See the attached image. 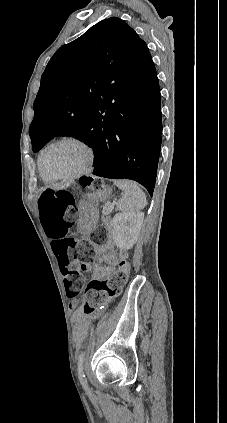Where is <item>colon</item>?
I'll use <instances>...</instances> for the list:
<instances>
[{"label": "colon", "instance_id": "5ec220e1", "mask_svg": "<svg viewBox=\"0 0 227 423\" xmlns=\"http://www.w3.org/2000/svg\"><path fill=\"white\" fill-rule=\"evenodd\" d=\"M78 186L95 187L97 183L92 179H83ZM38 208L46 234L56 240L54 254L59 262L66 295L75 298L82 290L83 273L95 256L94 246L108 241L107 225H99L88 240L67 238L66 233L78 217L74 193L70 189H43L38 199ZM128 275L129 261L127 255L121 253L118 256V268L111 276L104 281L92 280L88 283L81 311L91 314L108 299L120 294Z\"/></svg>", "mask_w": 227, "mask_h": 423}]
</instances>
